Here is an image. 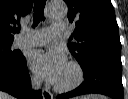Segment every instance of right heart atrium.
I'll return each instance as SVG.
<instances>
[{
  "instance_id": "obj_1",
  "label": "right heart atrium",
  "mask_w": 128,
  "mask_h": 99,
  "mask_svg": "<svg viewBox=\"0 0 128 99\" xmlns=\"http://www.w3.org/2000/svg\"><path fill=\"white\" fill-rule=\"evenodd\" d=\"M31 81H32L34 84H36V85L39 84V82H40L38 76H36V75H32V76H31Z\"/></svg>"
}]
</instances>
